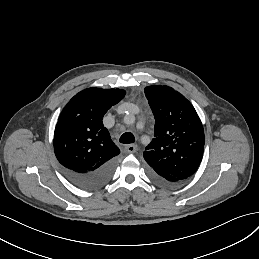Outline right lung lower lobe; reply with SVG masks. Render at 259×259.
<instances>
[{
	"label": "right lung lower lobe",
	"instance_id": "98d812e1",
	"mask_svg": "<svg viewBox=\"0 0 259 259\" xmlns=\"http://www.w3.org/2000/svg\"><path fill=\"white\" fill-rule=\"evenodd\" d=\"M116 166V158L106 162L97 169L88 172H75L67 168H62L65 177L76 186L84 189H92L107 182Z\"/></svg>",
	"mask_w": 259,
	"mask_h": 259
}]
</instances>
